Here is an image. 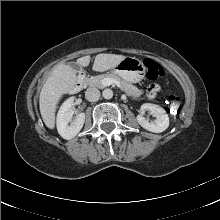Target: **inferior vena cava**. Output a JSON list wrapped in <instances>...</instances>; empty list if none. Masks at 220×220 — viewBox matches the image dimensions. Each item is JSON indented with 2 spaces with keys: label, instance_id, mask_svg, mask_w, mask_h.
<instances>
[{
  "label": "inferior vena cava",
  "instance_id": "inferior-vena-cava-1",
  "mask_svg": "<svg viewBox=\"0 0 220 220\" xmlns=\"http://www.w3.org/2000/svg\"><path fill=\"white\" fill-rule=\"evenodd\" d=\"M85 97L90 102H96L100 98V91L97 88H88Z\"/></svg>",
  "mask_w": 220,
  "mask_h": 220
}]
</instances>
